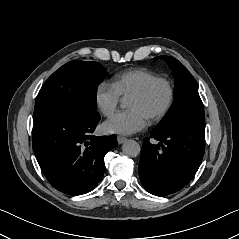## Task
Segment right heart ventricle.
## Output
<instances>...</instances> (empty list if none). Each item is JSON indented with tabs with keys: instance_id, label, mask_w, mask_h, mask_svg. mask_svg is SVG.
Returning a JSON list of instances; mask_svg holds the SVG:
<instances>
[{
	"instance_id": "obj_1",
	"label": "right heart ventricle",
	"mask_w": 239,
	"mask_h": 239,
	"mask_svg": "<svg viewBox=\"0 0 239 239\" xmlns=\"http://www.w3.org/2000/svg\"><path fill=\"white\" fill-rule=\"evenodd\" d=\"M154 78H157V75L150 71L134 69L119 75L114 83V87L122 97L128 99Z\"/></svg>"
}]
</instances>
